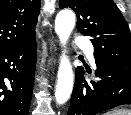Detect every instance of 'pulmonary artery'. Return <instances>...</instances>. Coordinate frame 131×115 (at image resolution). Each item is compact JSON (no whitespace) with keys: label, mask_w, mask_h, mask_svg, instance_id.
<instances>
[{"label":"pulmonary artery","mask_w":131,"mask_h":115,"mask_svg":"<svg viewBox=\"0 0 131 115\" xmlns=\"http://www.w3.org/2000/svg\"><path fill=\"white\" fill-rule=\"evenodd\" d=\"M75 45L79 46L82 50L85 51L87 58L89 59V61L92 64H95V60H94V48L92 46V44L90 43V41L82 36H79L76 40H75Z\"/></svg>","instance_id":"pulmonary-artery-1"}]
</instances>
